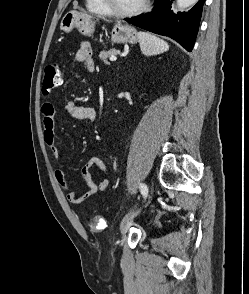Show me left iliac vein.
<instances>
[{"instance_id":"left-iliac-vein-1","label":"left iliac vein","mask_w":249,"mask_h":294,"mask_svg":"<svg viewBox=\"0 0 249 294\" xmlns=\"http://www.w3.org/2000/svg\"><path fill=\"white\" fill-rule=\"evenodd\" d=\"M132 224H133V217L129 218L127 215L126 218L122 221L120 226V231L122 236H124L128 232Z\"/></svg>"}]
</instances>
